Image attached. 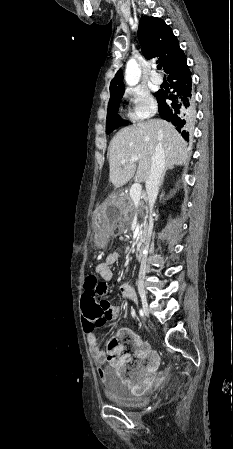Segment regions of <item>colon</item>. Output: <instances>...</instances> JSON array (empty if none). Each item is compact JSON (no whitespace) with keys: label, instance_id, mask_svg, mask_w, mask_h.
Listing matches in <instances>:
<instances>
[{"label":"colon","instance_id":"colon-1","mask_svg":"<svg viewBox=\"0 0 233 449\" xmlns=\"http://www.w3.org/2000/svg\"><path fill=\"white\" fill-rule=\"evenodd\" d=\"M98 278L95 274H89L85 280V292H82L80 298V305L82 306V327L83 328H102L105 318L103 309L99 306L97 301V293L94 290ZM132 337L129 334H122L111 339L107 346L108 358L118 364L121 363L120 357V345L129 344Z\"/></svg>","mask_w":233,"mask_h":449}]
</instances>
